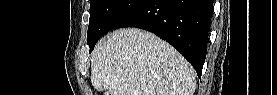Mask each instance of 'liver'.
I'll use <instances>...</instances> for the list:
<instances>
[{"instance_id": "obj_1", "label": "liver", "mask_w": 277, "mask_h": 95, "mask_svg": "<svg viewBox=\"0 0 277 95\" xmlns=\"http://www.w3.org/2000/svg\"><path fill=\"white\" fill-rule=\"evenodd\" d=\"M91 83L111 95H193L195 71L156 35L137 28L103 38L91 57Z\"/></svg>"}]
</instances>
